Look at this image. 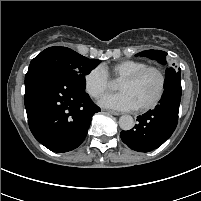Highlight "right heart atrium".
I'll list each match as a JSON object with an SVG mask.
<instances>
[{
    "mask_svg": "<svg viewBox=\"0 0 201 201\" xmlns=\"http://www.w3.org/2000/svg\"><path fill=\"white\" fill-rule=\"evenodd\" d=\"M109 76L102 66L90 69L84 77V87L87 94L94 98H100L109 88Z\"/></svg>",
    "mask_w": 201,
    "mask_h": 201,
    "instance_id": "obj_1",
    "label": "right heart atrium"
}]
</instances>
